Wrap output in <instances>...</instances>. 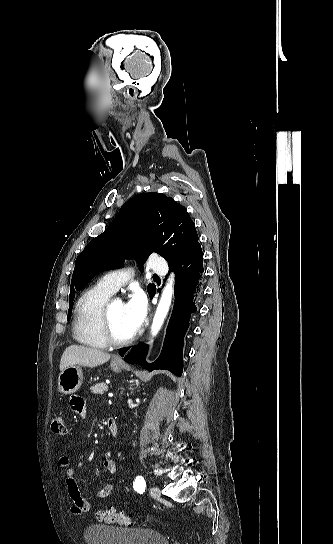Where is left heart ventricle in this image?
Listing matches in <instances>:
<instances>
[{"mask_svg": "<svg viewBox=\"0 0 333 544\" xmlns=\"http://www.w3.org/2000/svg\"><path fill=\"white\" fill-rule=\"evenodd\" d=\"M110 319L113 331L117 337L127 338L135 333L129 325L123 302L119 300L113 302L110 310Z\"/></svg>", "mask_w": 333, "mask_h": 544, "instance_id": "left-heart-ventricle-1", "label": "left heart ventricle"}]
</instances>
